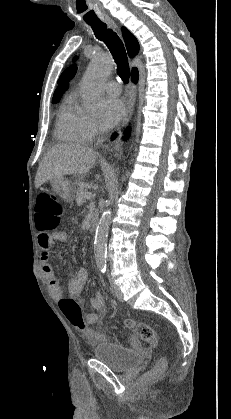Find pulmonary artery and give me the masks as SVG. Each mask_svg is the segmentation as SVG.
I'll return each instance as SVG.
<instances>
[{"label": "pulmonary artery", "mask_w": 231, "mask_h": 419, "mask_svg": "<svg viewBox=\"0 0 231 419\" xmlns=\"http://www.w3.org/2000/svg\"><path fill=\"white\" fill-rule=\"evenodd\" d=\"M104 87H105V90L107 91V93H109L111 95H114V96L119 95L120 92H121L120 85L115 81H108L105 84Z\"/></svg>", "instance_id": "pulmonary-artery-1"}]
</instances>
